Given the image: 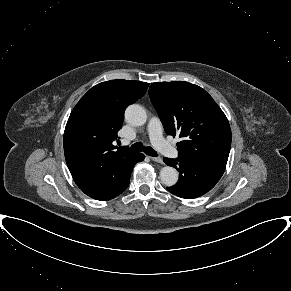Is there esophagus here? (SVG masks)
Here are the masks:
<instances>
[{"mask_svg": "<svg viewBox=\"0 0 291 291\" xmlns=\"http://www.w3.org/2000/svg\"><path fill=\"white\" fill-rule=\"evenodd\" d=\"M151 160L157 163H163V159L160 157H151Z\"/></svg>", "mask_w": 291, "mask_h": 291, "instance_id": "1", "label": "esophagus"}]
</instances>
